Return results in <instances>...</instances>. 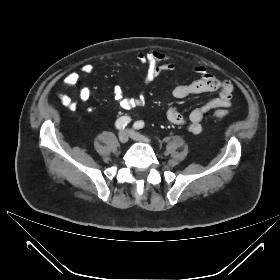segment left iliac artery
I'll return each instance as SVG.
<instances>
[{
	"label": "left iliac artery",
	"mask_w": 280,
	"mask_h": 280,
	"mask_svg": "<svg viewBox=\"0 0 280 280\" xmlns=\"http://www.w3.org/2000/svg\"><path fill=\"white\" fill-rule=\"evenodd\" d=\"M135 129H142L144 127V122L143 121H137L134 123L133 126Z\"/></svg>",
	"instance_id": "1"
}]
</instances>
